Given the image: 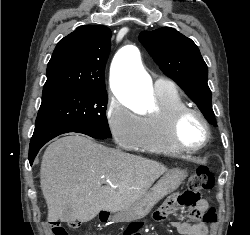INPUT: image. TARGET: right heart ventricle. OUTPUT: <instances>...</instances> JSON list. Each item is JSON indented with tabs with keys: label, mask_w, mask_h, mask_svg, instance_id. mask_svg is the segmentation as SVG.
<instances>
[{
	"label": "right heart ventricle",
	"mask_w": 250,
	"mask_h": 235,
	"mask_svg": "<svg viewBox=\"0 0 250 235\" xmlns=\"http://www.w3.org/2000/svg\"><path fill=\"white\" fill-rule=\"evenodd\" d=\"M154 99L156 110L142 117V137L136 148L155 154H180L169 136V120L171 114L185 103L175 87L165 91L155 90Z\"/></svg>",
	"instance_id": "e07e8e85"
}]
</instances>
